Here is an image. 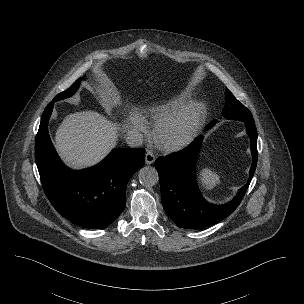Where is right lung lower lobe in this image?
Segmentation results:
<instances>
[{
    "instance_id": "obj_1",
    "label": "right lung lower lobe",
    "mask_w": 304,
    "mask_h": 304,
    "mask_svg": "<svg viewBox=\"0 0 304 304\" xmlns=\"http://www.w3.org/2000/svg\"><path fill=\"white\" fill-rule=\"evenodd\" d=\"M54 101L45 108L35 141V159L45 194L63 217L85 228L109 226L125 209L130 177L143 167L142 148L113 149L94 167L74 171L59 159L48 133Z\"/></svg>"
}]
</instances>
